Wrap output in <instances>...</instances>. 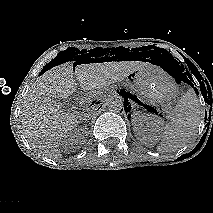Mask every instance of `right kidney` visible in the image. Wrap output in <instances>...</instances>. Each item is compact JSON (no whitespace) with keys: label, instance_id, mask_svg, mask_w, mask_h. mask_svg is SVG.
<instances>
[{"label":"right kidney","instance_id":"right-kidney-1","mask_svg":"<svg viewBox=\"0 0 213 213\" xmlns=\"http://www.w3.org/2000/svg\"><path fill=\"white\" fill-rule=\"evenodd\" d=\"M87 134L88 132L85 129L81 128L65 136L64 142H66V151H70V149L74 150L80 148V146L84 144L85 136H87Z\"/></svg>","mask_w":213,"mask_h":213}]
</instances>
